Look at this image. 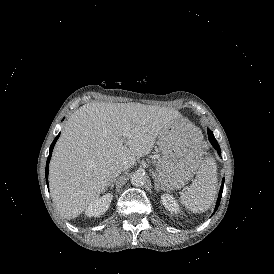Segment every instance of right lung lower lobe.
Masks as SVG:
<instances>
[{"label": "right lung lower lobe", "instance_id": "1", "mask_svg": "<svg viewBox=\"0 0 274 274\" xmlns=\"http://www.w3.org/2000/svg\"><path fill=\"white\" fill-rule=\"evenodd\" d=\"M59 135H60V134L57 135V137L54 139L53 143H52L51 146H50V152H49V156H48L47 164H46V182H47V184H48V180H47V179H48V165H49V160H50V158H51L52 150H53V148H54V145H55V143H56V141H57Z\"/></svg>", "mask_w": 274, "mask_h": 274}]
</instances>
